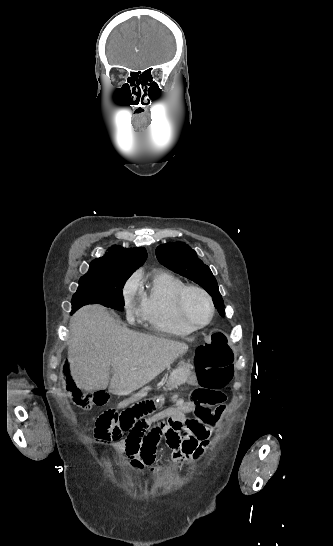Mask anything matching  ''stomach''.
I'll use <instances>...</instances> for the list:
<instances>
[{
	"mask_svg": "<svg viewBox=\"0 0 333 546\" xmlns=\"http://www.w3.org/2000/svg\"><path fill=\"white\" fill-rule=\"evenodd\" d=\"M193 365L190 361L181 362L172 372H170L169 379L167 381V390H170L174 386L181 384L185 380V375L192 374Z\"/></svg>",
	"mask_w": 333,
	"mask_h": 546,
	"instance_id": "stomach-1",
	"label": "stomach"
}]
</instances>
